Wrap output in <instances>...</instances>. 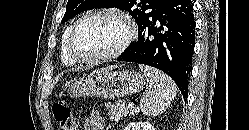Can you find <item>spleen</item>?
<instances>
[{"label":"spleen","instance_id":"obj_1","mask_svg":"<svg viewBox=\"0 0 249 130\" xmlns=\"http://www.w3.org/2000/svg\"><path fill=\"white\" fill-rule=\"evenodd\" d=\"M148 82V87L141 97L140 109L146 116L161 114L175 99L177 94L173 80L162 71L139 64Z\"/></svg>","mask_w":249,"mask_h":130}]
</instances>
